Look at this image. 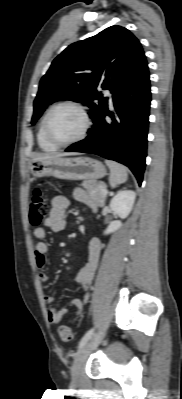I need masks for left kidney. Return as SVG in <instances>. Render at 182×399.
<instances>
[{"mask_svg": "<svg viewBox=\"0 0 182 399\" xmlns=\"http://www.w3.org/2000/svg\"><path fill=\"white\" fill-rule=\"evenodd\" d=\"M136 198V193L132 190H123L115 195L111 202L110 208L114 213L117 214L121 219H125L132 211L134 202ZM122 226L120 220L112 221L107 229L104 231L105 235L111 234L117 231Z\"/></svg>", "mask_w": 182, "mask_h": 399, "instance_id": "5707ae66", "label": "left kidney"}]
</instances>
